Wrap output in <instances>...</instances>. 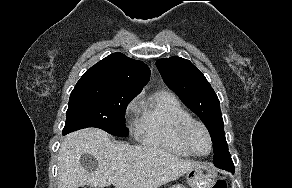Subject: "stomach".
<instances>
[{
  "instance_id": "stomach-1",
  "label": "stomach",
  "mask_w": 292,
  "mask_h": 188,
  "mask_svg": "<svg viewBox=\"0 0 292 188\" xmlns=\"http://www.w3.org/2000/svg\"><path fill=\"white\" fill-rule=\"evenodd\" d=\"M216 179L217 171L210 164L200 163L186 173V180L190 188H212ZM172 188L185 187L183 185H174Z\"/></svg>"
}]
</instances>
